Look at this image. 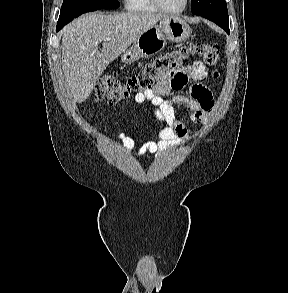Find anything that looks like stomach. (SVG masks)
<instances>
[{
	"label": "stomach",
	"mask_w": 288,
	"mask_h": 293,
	"mask_svg": "<svg viewBox=\"0 0 288 293\" xmlns=\"http://www.w3.org/2000/svg\"><path fill=\"white\" fill-rule=\"evenodd\" d=\"M191 35L189 25L181 18L167 16L141 34L132 46L126 50L121 59L125 64H131L140 58L151 57L160 52L166 42H183Z\"/></svg>",
	"instance_id": "stomach-1"
}]
</instances>
